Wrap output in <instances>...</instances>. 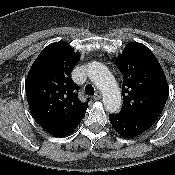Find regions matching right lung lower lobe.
<instances>
[{
	"label": "right lung lower lobe",
	"mask_w": 175,
	"mask_h": 175,
	"mask_svg": "<svg viewBox=\"0 0 175 175\" xmlns=\"http://www.w3.org/2000/svg\"><path fill=\"white\" fill-rule=\"evenodd\" d=\"M79 123H77L73 126H69V127H62V128H58V129L49 130L47 132L55 137H64V136L69 135L71 132H73V130L79 125Z\"/></svg>",
	"instance_id": "obj_1"
}]
</instances>
